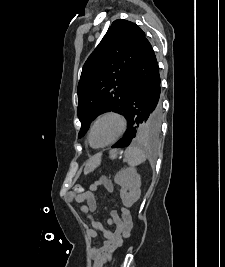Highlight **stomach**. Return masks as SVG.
<instances>
[{"label": "stomach", "instance_id": "1", "mask_svg": "<svg viewBox=\"0 0 225 267\" xmlns=\"http://www.w3.org/2000/svg\"><path fill=\"white\" fill-rule=\"evenodd\" d=\"M100 162L99 157H95L91 160L90 164L87 166L86 170H92L95 168Z\"/></svg>", "mask_w": 225, "mask_h": 267}]
</instances>
